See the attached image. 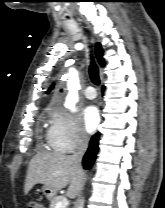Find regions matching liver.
Segmentation results:
<instances>
[{"label":"liver","instance_id":"6515ba94","mask_svg":"<svg viewBox=\"0 0 165 208\" xmlns=\"http://www.w3.org/2000/svg\"><path fill=\"white\" fill-rule=\"evenodd\" d=\"M85 173L82 167L74 163L71 156L58 153H37L30 161L24 193L32 189L35 184L55 189L65 188L68 184L67 195L75 198L84 185Z\"/></svg>","mask_w":165,"mask_h":208}]
</instances>
